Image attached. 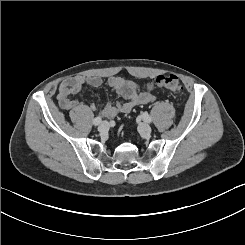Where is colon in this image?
Wrapping results in <instances>:
<instances>
[{"label": "colon", "instance_id": "colon-1", "mask_svg": "<svg viewBox=\"0 0 245 245\" xmlns=\"http://www.w3.org/2000/svg\"><path fill=\"white\" fill-rule=\"evenodd\" d=\"M154 86L167 89L176 94H180L183 90L179 78L173 74H164L157 76L155 80L149 84V87Z\"/></svg>", "mask_w": 245, "mask_h": 245}]
</instances>
